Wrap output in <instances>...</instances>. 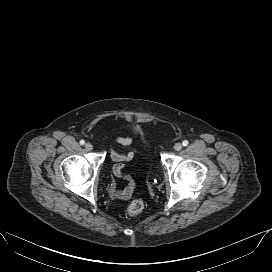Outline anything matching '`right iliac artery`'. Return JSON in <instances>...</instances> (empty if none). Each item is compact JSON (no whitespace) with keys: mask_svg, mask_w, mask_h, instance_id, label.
I'll use <instances>...</instances> for the list:
<instances>
[{"mask_svg":"<svg viewBox=\"0 0 272 272\" xmlns=\"http://www.w3.org/2000/svg\"><path fill=\"white\" fill-rule=\"evenodd\" d=\"M85 144V141L84 140H81L80 141V145H84Z\"/></svg>","mask_w":272,"mask_h":272,"instance_id":"1","label":"right iliac artery"}]
</instances>
